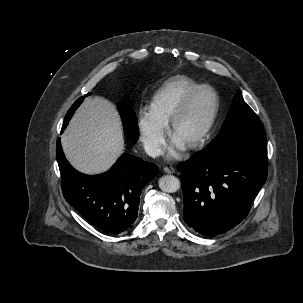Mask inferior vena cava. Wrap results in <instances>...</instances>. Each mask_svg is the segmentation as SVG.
Segmentation results:
<instances>
[{
  "instance_id": "obj_1",
  "label": "inferior vena cava",
  "mask_w": 303,
  "mask_h": 303,
  "mask_svg": "<svg viewBox=\"0 0 303 303\" xmlns=\"http://www.w3.org/2000/svg\"><path fill=\"white\" fill-rule=\"evenodd\" d=\"M144 150L151 157H157L163 153L160 145L156 142H146L144 145Z\"/></svg>"
}]
</instances>
